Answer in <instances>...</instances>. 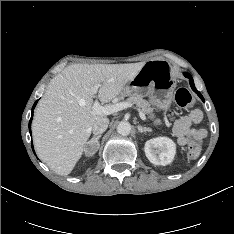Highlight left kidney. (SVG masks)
<instances>
[{"label": "left kidney", "mask_w": 234, "mask_h": 234, "mask_svg": "<svg viewBox=\"0 0 234 234\" xmlns=\"http://www.w3.org/2000/svg\"><path fill=\"white\" fill-rule=\"evenodd\" d=\"M144 150L151 163L165 166L173 161L176 145L168 137H157L146 141Z\"/></svg>", "instance_id": "obj_1"}]
</instances>
